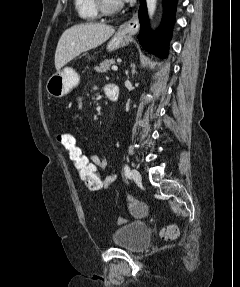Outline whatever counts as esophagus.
I'll return each instance as SVG.
<instances>
[{"instance_id": "esophagus-1", "label": "esophagus", "mask_w": 240, "mask_h": 287, "mask_svg": "<svg viewBox=\"0 0 240 287\" xmlns=\"http://www.w3.org/2000/svg\"><path fill=\"white\" fill-rule=\"evenodd\" d=\"M140 27L139 19L137 13H134L130 20L123 23L120 28L119 32L123 35H134L138 32Z\"/></svg>"}]
</instances>
